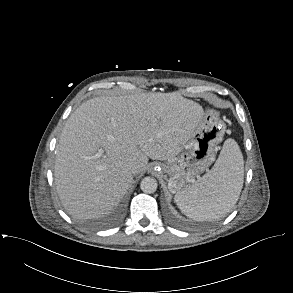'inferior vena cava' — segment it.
Wrapping results in <instances>:
<instances>
[{
  "label": "inferior vena cava",
  "mask_w": 293,
  "mask_h": 293,
  "mask_svg": "<svg viewBox=\"0 0 293 293\" xmlns=\"http://www.w3.org/2000/svg\"><path fill=\"white\" fill-rule=\"evenodd\" d=\"M126 170H127L129 173H133V174H135V173L138 172V166L135 165V164H129V165H127V167H126Z\"/></svg>",
  "instance_id": "1"
}]
</instances>
